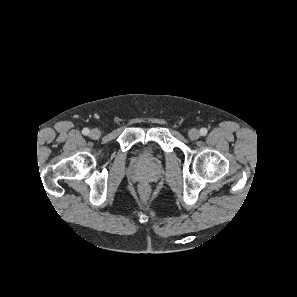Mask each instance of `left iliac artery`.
<instances>
[{
	"instance_id": "1",
	"label": "left iliac artery",
	"mask_w": 297,
	"mask_h": 297,
	"mask_svg": "<svg viewBox=\"0 0 297 297\" xmlns=\"http://www.w3.org/2000/svg\"><path fill=\"white\" fill-rule=\"evenodd\" d=\"M207 129L206 128H201L200 129V134L202 135V136H205L206 134H207Z\"/></svg>"
}]
</instances>
